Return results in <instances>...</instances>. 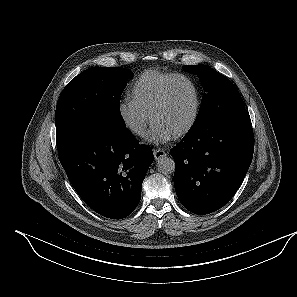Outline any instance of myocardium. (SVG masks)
I'll return each mask as SVG.
<instances>
[{
	"mask_svg": "<svg viewBox=\"0 0 297 297\" xmlns=\"http://www.w3.org/2000/svg\"><path fill=\"white\" fill-rule=\"evenodd\" d=\"M180 80L187 81L192 86L194 95H195V106H194L192 116L188 121V123L181 130H179L177 133L173 135V138L175 139H178L187 135L193 129V127L195 126L198 120L200 110H201L202 99H201V93H200L199 87L196 84V82L187 75H184V74L175 75L171 80H169L165 84L160 95L158 96L157 100L154 102V104L152 105L149 111V119L152 122L154 114L166 103L172 86L177 81H180Z\"/></svg>",
	"mask_w": 297,
	"mask_h": 297,
	"instance_id": "f54148a6",
	"label": "myocardium"
}]
</instances>
